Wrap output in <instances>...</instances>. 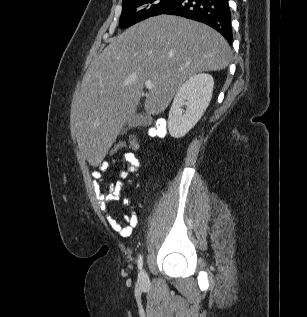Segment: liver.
Listing matches in <instances>:
<instances>
[{
    "instance_id": "liver-1",
    "label": "liver",
    "mask_w": 307,
    "mask_h": 317,
    "mask_svg": "<svg viewBox=\"0 0 307 317\" xmlns=\"http://www.w3.org/2000/svg\"><path fill=\"white\" fill-rule=\"evenodd\" d=\"M225 38L211 27L172 15L142 21L109 40L87 69L71 108L79 147L91 165L106 156L150 80L148 115L163 112L178 88L203 71H220L231 60Z\"/></svg>"
}]
</instances>
